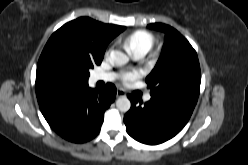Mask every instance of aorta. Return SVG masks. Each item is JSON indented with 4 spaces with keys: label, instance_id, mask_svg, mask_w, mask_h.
I'll return each instance as SVG.
<instances>
[{
    "label": "aorta",
    "instance_id": "762f6f07",
    "mask_svg": "<svg viewBox=\"0 0 248 165\" xmlns=\"http://www.w3.org/2000/svg\"><path fill=\"white\" fill-rule=\"evenodd\" d=\"M110 60L114 64L122 66V65H125L129 61V58L125 53L116 50V51H111ZM116 107L121 112H127L129 111L131 107V102L127 97L121 96L116 101Z\"/></svg>",
    "mask_w": 248,
    "mask_h": 165
}]
</instances>
